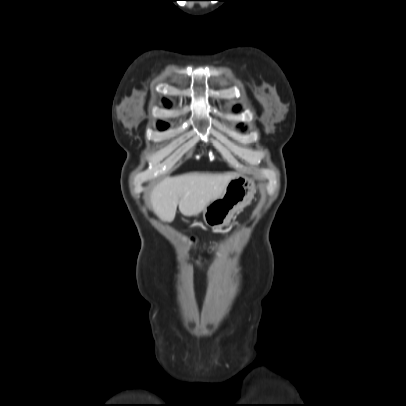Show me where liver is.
I'll list each match as a JSON object with an SVG mask.
<instances>
[{
  "instance_id": "obj_1",
  "label": "liver",
  "mask_w": 406,
  "mask_h": 406,
  "mask_svg": "<svg viewBox=\"0 0 406 406\" xmlns=\"http://www.w3.org/2000/svg\"><path fill=\"white\" fill-rule=\"evenodd\" d=\"M236 173H187L168 177L150 193V204L155 214L165 222H172L177 206L184 216H196L213 200L219 198Z\"/></svg>"
}]
</instances>
